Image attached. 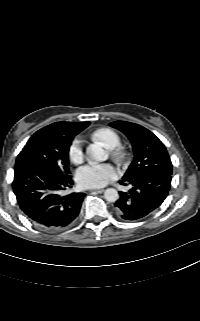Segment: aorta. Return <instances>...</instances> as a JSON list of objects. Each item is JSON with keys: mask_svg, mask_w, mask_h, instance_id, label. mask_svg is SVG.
Here are the masks:
<instances>
[{"mask_svg": "<svg viewBox=\"0 0 200 321\" xmlns=\"http://www.w3.org/2000/svg\"><path fill=\"white\" fill-rule=\"evenodd\" d=\"M87 156L89 160L102 162L108 159L107 152L97 144H91L87 148ZM104 197L109 202H116L119 199V194L116 189L108 188L104 192Z\"/></svg>", "mask_w": 200, "mask_h": 321, "instance_id": "obj_1", "label": "aorta"}]
</instances>
